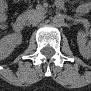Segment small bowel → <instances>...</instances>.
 Masks as SVG:
<instances>
[{
    "mask_svg": "<svg viewBox=\"0 0 91 91\" xmlns=\"http://www.w3.org/2000/svg\"><path fill=\"white\" fill-rule=\"evenodd\" d=\"M5 20H6V16H5L4 13H2V14L0 15V21L2 22V25H3V26H4V23H5Z\"/></svg>",
    "mask_w": 91,
    "mask_h": 91,
    "instance_id": "obj_1",
    "label": "small bowel"
}]
</instances>
